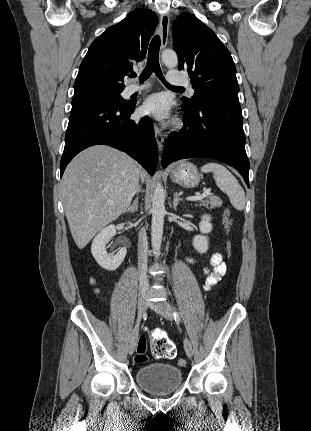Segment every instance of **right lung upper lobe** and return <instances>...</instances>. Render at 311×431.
<instances>
[{
    "label": "right lung upper lobe",
    "instance_id": "right-lung-upper-lobe-1",
    "mask_svg": "<svg viewBox=\"0 0 311 431\" xmlns=\"http://www.w3.org/2000/svg\"><path fill=\"white\" fill-rule=\"evenodd\" d=\"M158 25L149 9H136L96 38L79 67L74 95L88 92H122L124 77L134 61L146 56L149 40Z\"/></svg>",
    "mask_w": 311,
    "mask_h": 431
}]
</instances>
